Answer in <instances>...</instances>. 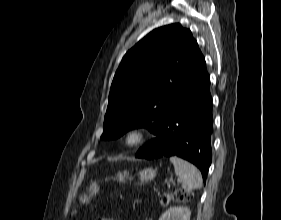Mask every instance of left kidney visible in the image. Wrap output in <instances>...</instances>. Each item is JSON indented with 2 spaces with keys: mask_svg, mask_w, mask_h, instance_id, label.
<instances>
[{
  "mask_svg": "<svg viewBox=\"0 0 281 220\" xmlns=\"http://www.w3.org/2000/svg\"><path fill=\"white\" fill-rule=\"evenodd\" d=\"M191 211L188 207H170L159 220H190Z\"/></svg>",
  "mask_w": 281,
  "mask_h": 220,
  "instance_id": "1",
  "label": "left kidney"
}]
</instances>
